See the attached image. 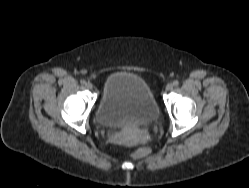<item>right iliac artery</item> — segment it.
<instances>
[{
	"label": "right iliac artery",
	"instance_id": "obj_1",
	"mask_svg": "<svg viewBox=\"0 0 249 188\" xmlns=\"http://www.w3.org/2000/svg\"><path fill=\"white\" fill-rule=\"evenodd\" d=\"M80 83L84 85V84H86V81L84 79H81Z\"/></svg>",
	"mask_w": 249,
	"mask_h": 188
}]
</instances>
